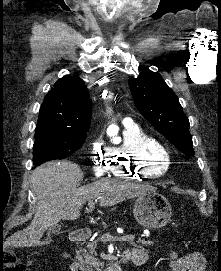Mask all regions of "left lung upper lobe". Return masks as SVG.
Listing matches in <instances>:
<instances>
[{
  "label": "left lung upper lobe",
  "instance_id": "5c2ea615",
  "mask_svg": "<svg viewBox=\"0 0 221 271\" xmlns=\"http://www.w3.org/2000/svg\"><path fill=\"white\" fill-rule=\"evenodd\" d=\"M128 83L141 114L184 154L193 155L189 120L161 75L144 70L137 78H129Z\"/></svg>",
  "mask_w": 221,
  "mask_h": 271
}]
</instances>
